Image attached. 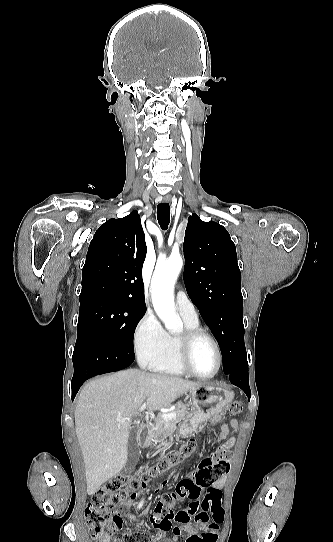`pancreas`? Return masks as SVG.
<instances>
[{"mask_svg":"<svg viewBox=\"0 0 333 542\" xmlns=\"http://www.w3.org/2000/svg\"><path fill=\"white\" fill-rule=\"evenodd\" d=\"M173 412L176 414V418H173V420H164V418H162V414H171V412H161V414H159L156 420V426L155 428H152V438H154V442H157V444H153L150 448H158V444L159 446H165V444H167L166 436H168L170 432H175L176 424L181 422V420H187V418H191L192 416L190 412H187L186 404H177L176 410H173Z\"/></svg>","mask_w":333,"mask_h":542,"instance_id":"pancreas-1","label":"pancreas"}]
</instances>
